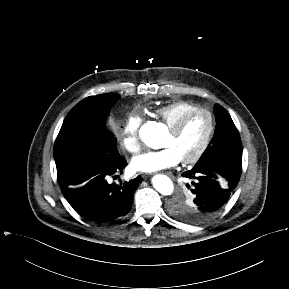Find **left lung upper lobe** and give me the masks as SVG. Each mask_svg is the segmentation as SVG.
<instances>
[{
  "instance_id": "obj_1",
  "label": "left lung upper lobe",
  "mask_w": 289,
  "mask_h": 289,
  "mask_svg": "<svg viewBox=\"0 0 289 289\" xmlns=\"http://www.w3.org/2000/svg\"><path fill=\"white\" fill-rule=\"evenodd\" d=\"M214 110L216 115L214 137L194 168H204L224 163L242 164V144L238 130L228 112L221 105L215 104ZM171 212L175 217L189 223L205 221L197 216L188 192L186 196L179 195L173 200Z\"/></svg>"
}]
</instances>
